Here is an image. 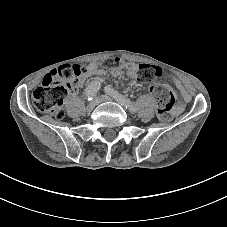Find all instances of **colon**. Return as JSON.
Segmentation results:
<instances>
[{
    "label": "colon",
    "instance_id": "1",
    "mask_svg": "<svg viewBox=\"0 0 227 227\" xmlns=\"http://www.w3.org/2000/svg\"><path fill=\"white\" fill-rule=\"evenodd\" d=\"M115 71L122 73L126 70V62L115 60L112 63ZM88 67L84 65H62L47 74L41 84L32 93L33 106L40 112L61 119L64 115L62 103L64 98L77 90L82 76ZM163 75V70L155 65L138 64L137 76L144 81H153ZM157 104V115L161 120H168L176 103V96L171 87L164 84H154L150 87Z\"/></svg>",
    "mask_w": 227,
    "mask_h": 227
}]
</instances>
